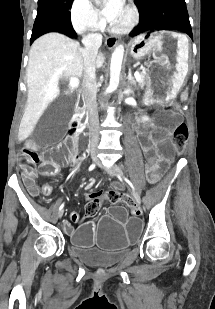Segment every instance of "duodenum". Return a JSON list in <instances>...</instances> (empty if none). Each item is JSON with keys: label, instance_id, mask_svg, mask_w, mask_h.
I'll list each match as a JSON object with an SVG mask.
<instances>
[{"label": "duodenum", "instance_id": "obj_1", "mask_svg": "<svg viewBox=\"0 0 215 309\" xmlns=\"http://www.w3.org/2000/svg\"><path fill=\"white\" fill-rule=\"evenodd\" d=\"M70 133L73 136L79 135L81 133V127L79 124V121L76 120L75 122H73L71 129H70Z\"/></svg>", "mask_w": 215, "mask_h": 309}]
</instances>
